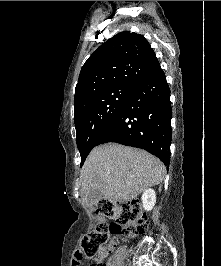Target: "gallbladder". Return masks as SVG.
Returning a JSON list of instances; mask_svg holds the SVG:
<instances>
[{
  "label": "gallbladder",
  "instance_id": "obj_1",
  "mask_svg": "<svg viewBox=\"0 0 221 266\" xmlns=\"http://www.w3.org/2000/svg\"><path fill=\"white\" fill-rule=\"evenodd\" d=\"M102 199V193L98 189L91 190L85 197V201L88 205L92 206L98 203Z\"/></svg>",
  "mask_w": 221,
  "mask_h": 266
}]
</instances>
